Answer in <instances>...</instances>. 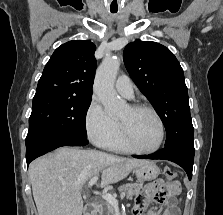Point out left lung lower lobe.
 <instances>
[{"mask_svg":"<svg viewBox=\"0 0 223 215\" xmlns=\"http://www.w3.org/2000/svg\"><path fill=\"white\" fill-rule=\"evenodd\" d=\"M194 152V146H170L150 155H133V157L140 159H162L175 162L186 171L189 180H191Z\"/></svg>","mask_w":223,"mask_h":215,"instance_id":"obj_1","label":"left lung lower lobe"}]
</instances>
